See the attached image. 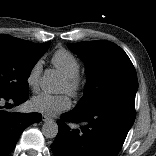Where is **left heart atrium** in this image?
Listing matches in <instances>:
<instances>
[{
    "label": "left heart atrium",
    "mask_w": 156,
    "mask_h": 156,
    "mask_svg": "<svg viewBox=\"0 0 156 156\" xmlns=\"http://www.w3.org/2000/svg\"><path fill=\"white\" fill-rule=\"evenodd\" d=\"M30 105L36 112H40L47 116H55L60 112L69 109L71 100L65 93L60 95L41 93L31 99Z\"/></svg>",
    "instance_id": "1"
}]
</instances>
